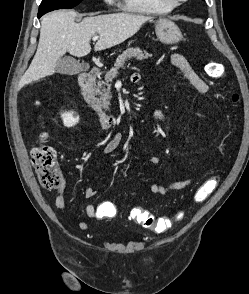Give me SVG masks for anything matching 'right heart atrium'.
Returning a JSON list of instances; mask_svg holds the SVG:
<instances>
[{"instance_id":"1","label":"right heart atrium","mask_w":249,"mask_h":294,"mask_svg":"<svg viewBox=\"0 0 249 294\" xmlns=\"http://www.w3.org/2000/svg\"><path fill=\"white\" fill-rule=\"evenodd\" d=\"M106 1L110 2V1H112V0H106Z\"/></svg>"}]
</instances>
